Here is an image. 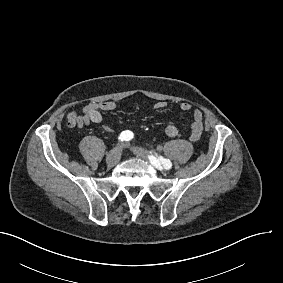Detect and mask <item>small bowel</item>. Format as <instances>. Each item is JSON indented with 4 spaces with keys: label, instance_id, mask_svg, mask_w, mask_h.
<instances>
[{
    "label": "small bowel",
    "instance_id": "1",
    "mask_svg": "<svg viewBox=\"0 0 283 283\" xmlns=\"http://www.w3.org/2000/svg\"><path fill=\"white\" fill-rule=\"evenodd\" d=\"M153 108L156 111H164L167 108V104L163 101H157L154 103ZM182 112H190L192 106L188 102H182L179 105ZM116 109V103L114 101H99L91 102L84 106L83 114L78 118V124L80 126L88 125L89 123H101L103 121L102 112L113 111ZM107 130H110L107 128ZM203 131V113L199 109L192 111V123L189 139L192 142H197L202 135Z\"/></svg>",
    "mask_w": 283,
    "mask_h": 283
}]
</instances>
